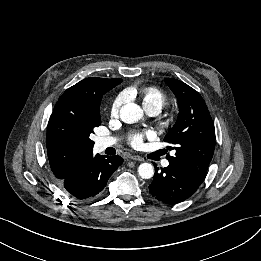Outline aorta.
Listing matches in <instances>:
<instances>
[{"mask_svg":"<svg viewBox=\"0 0 261 261\" xmlns=\"http://www.w3.org/2000/svg\"><path fill=\"white\" fill-rule=\"evenodd\" d=\"M143 115V110L135 103H127L120 109L121 120L128 124L141 120ZM138 174L143 179H150L154 175V167L150 163H142L138 167Z\"/></svg>","mask_w":261,"mask_h":261,"instance_id":"aorta-1","label":"aorta"}]
</instances>
